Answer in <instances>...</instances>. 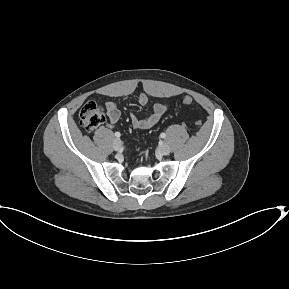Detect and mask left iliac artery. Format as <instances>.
Instances as JSON below:
<instances>
[{"label":"left iliac artery","mask_w":289,"mask_h":289,"mask_svg":"<svg viewBox=\"0 0 289 289\" xmlns=\"http://www.w3.org/2000/svg\"><path fill=\"white\" fill-rule=\"evenodd\" d=\"M160 137H161V138H165V137H166V134H165V133H161V134H160Z\"/></svg>","instance_id":"obj_1"}]
</instances>
